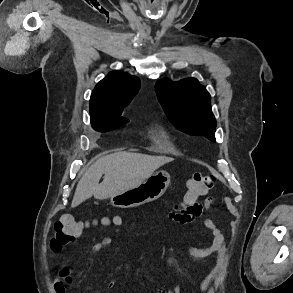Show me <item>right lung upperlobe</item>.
<instances>
[{
	"label": "right lung upper lobe",
	"mask_w": 293,
	"mask_h": 293,
	"mask_svg": "<svg viewBox=\"0 0 293 293\" xmlns=\"http://www.w3.org/2000/svg\"><path fill=\"white\" fill-rule=\"evenodd\" d=\"M140 80L121 71L110 72L94 88L90 100L91 119L122 113L137 94Z\"/></svg>",
	"instance_id": "right-lung-upper-lobe-1"
}]
</instances>
